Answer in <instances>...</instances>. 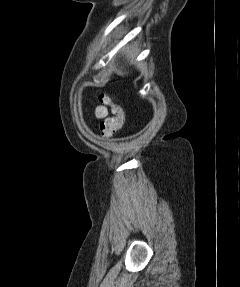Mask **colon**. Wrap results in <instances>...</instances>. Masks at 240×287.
<instances>
[{"label":"colon","instance_id":"5ec220e1","mask_svg":"<svg viewBox=\"0 0 240 287\" xmlns=\"http://www.w3.org/2000/svg\"><path fill=\"white\" fill-rule=\"evenodd\" d=\"M100 101L108 106L112 113V117L105 119L100 124L102 134L109 137L122 127L125 117L124 109L120 104L113 102L106 94L100 96Z\"/></svg>","mask_w":240,"mask_h":287}]
</instances>
